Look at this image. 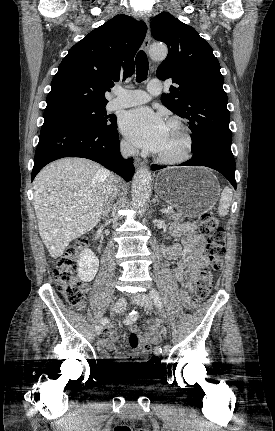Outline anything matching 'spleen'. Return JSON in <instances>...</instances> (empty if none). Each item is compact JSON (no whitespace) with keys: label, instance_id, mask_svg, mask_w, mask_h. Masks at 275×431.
I'll use <instances>...</instances> for the list:
<instances>
[{"label":"spleen","instance_id":"obj_1","mask_svg":"<svg viewBox=\"0 0 275 431\" xmlns=\"http://www.w3.org/2000/svg\"><path fill=\"white\" fill-rule=\"evenodd\" d=\"M231 202H232V190L229 187H226L223 189L220 196V201L218 206V213L220 216H225L228 214L229 208L231 206Z\"/></svg>","mask_w":275,"mask_h":431}]
</instances>
